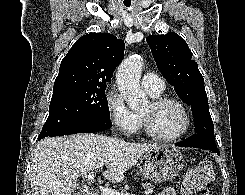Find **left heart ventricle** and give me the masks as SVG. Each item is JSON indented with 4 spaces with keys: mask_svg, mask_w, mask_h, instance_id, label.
<instances>
[{
    "mask_svg": "<svg viewBox=\"0 0 245 195\" xmlns=\"http://www.w3.org/2000/svg\"><path fill=\"white\" fill-rule=\"evenodd\" d=\"M148 116L153 130L162 135H173L182 130L185 123V115L176 104H165L153 109L151 102L141 111Z\"/></svg>",
    "mask_w": 245,
    "mask_h": 195,
    "instance_id": "left-heart-ventricle-1",
    "label": "left heart ventricle"
}]
</instances>
